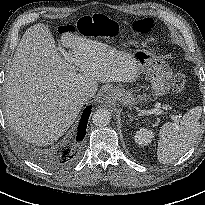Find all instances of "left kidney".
Listing matches in <instances>:
<instances>
[{
    "label": "left kidney",
    "mask_w": 205,
    "mask_h": 205,
    "mask_svg": "<svg viewBox=\"0 0 205 205\" xmlns=\"http://www.w3.org/2000/svg\"><path fill=\"white\" fill-rule=\"evenodd\" d=\"M153 137V132L145 128L137 130L134 136L135 141L141 146L148 145Z\"/></svg>",
    "instance_id": "obj_1"
}]
</instances>
